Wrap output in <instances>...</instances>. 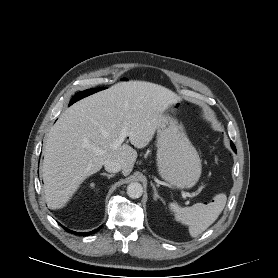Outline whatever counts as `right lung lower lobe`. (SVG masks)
<instances>
[{
  "label": "right lung lower lobe",
  "instance_id": "1",
  "mask_svg": "<svg viewBox=\"0 0 278 278\" xmlns=\"http://www.w3.org/2000/svg\"><path fill=\"white\" fill-rule=\"evenodd\" d=\"M62 227H63V226H62ZM63 228H64L66 231L70 232V233L85 236V235H90V234H93V233L97 232L101 227H99V228H97L96 230H93V231H91V232H87V233H78V232L71 231V230H69V229H67V228H65V227H63Z\"/></svg>",
  "mask_w": 278,
  "mask_h": 278
}]
</instances>
